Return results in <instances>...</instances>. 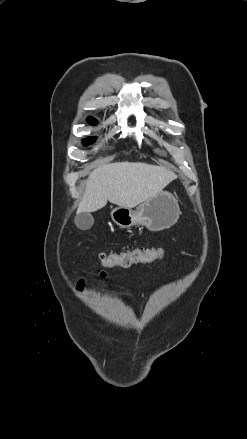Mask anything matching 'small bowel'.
<instances>
[{"instance_id": "1", "label": "small bowel", "mask_w": 247, "mask_h": 439, "mask_svg": "<svg viewBox=\"0 0 247 439\" xmlns=\"http://www.w3.org/2000/svg\"><path fill=\"white\" fill-rule=\"evenodd\" d=\"M100 277H101V278H105V277H106V273H105V272H101V273H100ZM84 285H85V281H84V279H80V280L78 281L77 288H78L79 290H82V289L84 288Z\"/></svg>"}]
</instances>
